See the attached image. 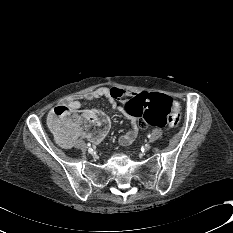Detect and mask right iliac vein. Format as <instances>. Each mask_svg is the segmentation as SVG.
I'll use <instances>...</instances> for the list:
<instances>
[{"mask_svg": "<svg viewBox=\"0 0 233 233\" xmlns=\"http://www.w3.org/2000/svg\"><path fill=\"white\" fill-rule=\"evenodd\" d=\"M88 152H89L90 154H93V150H91V149H88Z\"/></svg>", "mask_w": 233, "mask_h": 233, "instance_id": "right-iliac-vein-1", "label": "right iliac vein"}]
</instances>
